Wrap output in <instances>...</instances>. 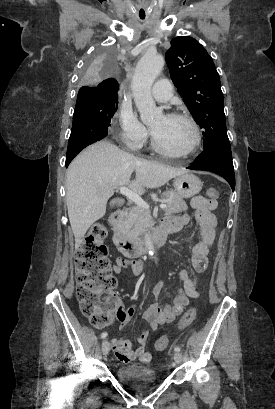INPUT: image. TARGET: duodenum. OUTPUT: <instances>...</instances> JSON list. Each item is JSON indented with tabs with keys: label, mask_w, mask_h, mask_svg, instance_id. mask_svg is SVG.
<instances>
[{
	"label": "duodenum",
	"mask_w": 275,
	"mask_h": 409,
	"mask_svg": "<svg viewBox=\"0 0 275 409\" xmlns=\"http://www.w3.org/2000/svg\"><path fill=\"white\" fill-rule=\"evenodd\" d=\"M122 211H115L111 214L109 222L113 231V241L118 250L128 258H137L145 254L149 246L131 239L122 226ZM174 231V228L168 224H161L151 232L150 243L152 246H162L167 235Z\"/></svg>",
	"instance_id": "obj_1"
}]
</instances>
